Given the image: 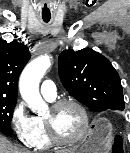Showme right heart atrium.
Wrapping results in <instances>:
<instances>
[{
  "instance_id": "right-heart-atrium-1",
  "label": "right heart atrium",
  "mask_w": 130,
  "mask_h": 153,
  "mask_svg": "<svg viewBox=\"0 0 130 153\" xmlns=\"http://www.w3.org/2000/svg\"><path fill=\"white\" fill-rule=\"evenodd\" d=\"M10 123L18 141L23 145L32 146L34 143L32 117L28 115L22 101H18L12 109Z\"/></svg>"
}]
</instances>
